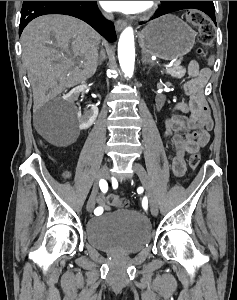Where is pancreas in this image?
<instances>
[{"mask_svg": "<svg viewBox=\"0 0 237 300\" xmlns=\"http://www.w3.org/2000/svg\"><path fill=\"white\" fill-rule=\"evenodd\" d=\"M167 75H172V77H184L186 73V69L184 67H180L178 65L177 67H170V69H165Z\"/></svg>", "mask_w": 237, "mask_h": 300, "instance_id": "pancreas-1", "label": "pancreas"}]
</instances>
